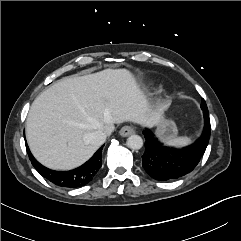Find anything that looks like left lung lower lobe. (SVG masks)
Returning a JSON list of instances; mask_svg holds the SVG:
<instances>
[{"label":"left lung lower lobe","instance_id":"left-lung-lower-lobe-1","mask_svg":"<svg viewBox=\"0 0 241 241\" xmlns=\"http://www.w3.org/2000/svg\"><path fill=\"white\" fill-rule=\"evenodd\" d=\"M205 127L202 136L192 145L183 149H173L162 145L153 134L145 130V152L142 166L145 171L159 181L178 179L190 173L199 163L210 138L209 113H204Z\"/></svg>","mask_w":241,"mask_h":241}]
</instances>
